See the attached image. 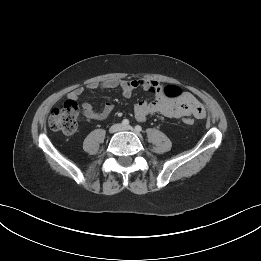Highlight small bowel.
Returning <instances> with one entry per match:
<instances>
[{
	"mask_svg": "<svg viewBox=\"0 0 261 261\" xmlns=\"http://www.w3.org/2000/svg\"><path fill=\"white\" fill-rule=\"evenodd\" d=\"M90 90L115 89L119 88L122 95L129 98L133 91L137 88H142L151 92L155 96L152 102L140 101L134 107L135 118L143 122L149 115L161 114L168 118H186L194 117L202 119L205 116V109L201 102L190 92H182L178 98H169L165 94V87L156 80L150 79H108L101 83L91 82L87 85ZM83 88L74 89L68 94V99L76 101L83 93ZM113 104L108 102L101 110H95L92 104L84 103L82 105L83 114L91 120L106 119L113 111Z\"/></svg>",
	"mask_w": 261,
	"mask_h": 261,
	"instance_id": "c3829d8e",
	"label": "small bowel"
}]
</instances>
